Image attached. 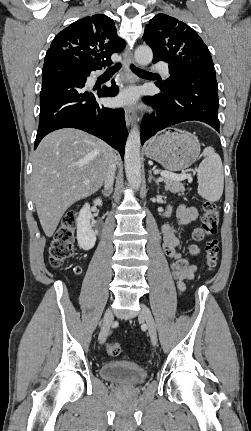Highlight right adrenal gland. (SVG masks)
<instances>
[{
    "label": "right adrenal gland",
    "mask_w": 251,
    "mask_h": 431,
    "mask_svg": "<svg viewBox=\"0 0 251 431\" xmlns=\"http://www.w3.org/2000/svg\"><path fill=\"white\" fill-rule=\"evenodd\" d=\"M111 192H112V189H110L109 191L102 190V195H103L104 197H109V196H110V194H111Z\"/></svg>",
    "instance_id": "right-adrenal-gland-1"
}]
</instances>
